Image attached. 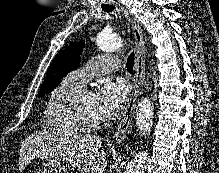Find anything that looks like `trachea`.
<instances>
[{
  "label": "trachea",
  "instance_id": "1",
  "mask_svg": "<svg viewBox=\"0 0 219 173\" xmlns=\"http://www.w3.org/2000/svg\"><path fill=\"white\" fill-rule=\"evenodd\" d=\"M102 9L107 12L110 13L114 10L113 6H105L102 7ZM134 61H135V54L134 51L128 56L127 58V63H126V68L128 70V72L132 73L133 71V67H134Z\"/></svg>",
  "mask_w": 219,
  "mask_h": 173
}]
</instances>
